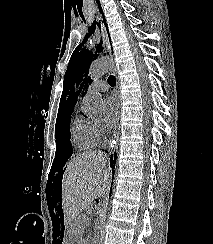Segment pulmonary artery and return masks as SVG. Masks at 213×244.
<instances>
[{
    "label": "pulmonary artery",
    "mask_w": 213,
    "mask_h": 244,
    "mask_svg": "<svg viewBox=\"0 0 213 244\" xmlns=\"http://www.w3.org/2000/svg\"><path fill=\"white\" fill-rule=\"evenodd\" d=\"M95 88L100 92H105L108 89V84L105 81H98L95 83Z\"/></svg>",
    "instance_id": "1"
}]
</instances>
